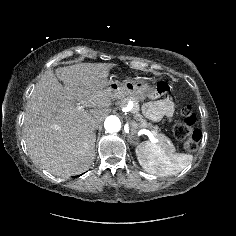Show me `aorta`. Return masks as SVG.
I'll use <instances>...</instances> for the list:
<instances>
[{
  "label": "aorta",
  "mask_w": 236,
  "mask_h": 236,
  "mask_svg": "<svg viewBox=\"0 0 236 236\" xmlns=\"http://www.w3.org/2000/svg\"><path fill=\"white\" fill-rule=\"evenodd\" d=\"M104 127L109 133L118 132L121 128V121L117 116H108L104 122Z\"/></svg>",
  "instance_id": "1"
}]
</instances>
